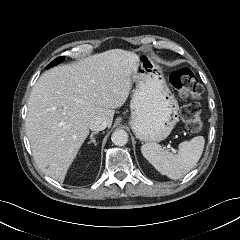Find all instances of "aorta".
Here are the masks:
<instances>
[{
	"label": "aorta",
	"mask_w": 240,
	"mask_h": 240,
	"mask_svg": "<svg viewBox=\"0 0 240 240\" xmlns=\"http://www.w3.org/2000/svg\"><path fill=\"white\" fill-rule=\"evenodd\" d=\"M111 140L117 146H124L128 142V133L123 129L115 130L111 136Z\"/></svg>",
	"instance_id": "aorta-1"
}]
</instances>
